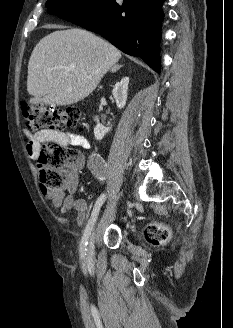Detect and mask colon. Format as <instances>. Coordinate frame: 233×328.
Here are the masks:
<instances>
[{
    "label": "colon",
    "instance_id": "colon-1",
    "mask_svg": "<svg viewBox=\"0 0 233 328\" xmlns=\"http://www.w3.org/2000/svg\"><path fill=\"white\" fill-rule=\"evenodd\" d=\"M23 115L28 122L29 130L44 129L61 131L65 128H77L82 113L78 108L59 109L54 106L23 105ZM82 161L80 151L60 145L53 140L44 141L36 158L41 187L45 190H56L73 180ZM145 237L153 244L168 240L169 233L160 225H150Z\"/></svg>",
    "mask_w": 233,
    "mask_h": 328
}]
</instances>
